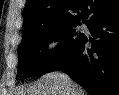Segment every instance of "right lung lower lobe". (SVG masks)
<instances>
[{
    "mask_svg": "<svg viewBox=\"0 0 119 95\" xmlns=\"http://www.w3.org/2000/svg\"><path fill=\"white\" fill-rule=\"evenodd\" d=\"M88 29L97 40L84 35L49 72L67 73L91 95H119V12Z\"/></svg>",
    "mask_w": 119,
    "mask_h": 95,
    "instance_id": "1",
    "label": "right lung lower lobe"
}]
</instances>
